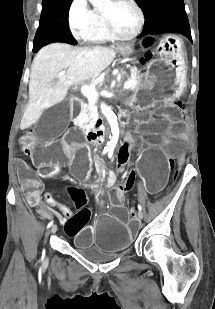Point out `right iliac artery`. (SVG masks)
I'll use <instances>...</instances> for the list:
<instances>
[{
  "label": "right iliac artery",
  "instance_id": "82829eb1",
  "mask_svg": "<svg viewBox=\"0 0 215 309\" xmlns=\"http://www.w3.org/2000/svg\"><path fill=\"white\" fill-rule=\"evenodd\" d=\"M104 153H106V151H104ZM52 224H53V222L51 221V222L48 224L47 228H49Z\"/></svg>",
  "mask_w": 215,
  "mask_h": 309
}]
</instances>
